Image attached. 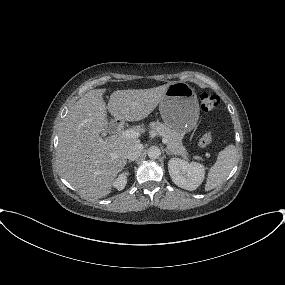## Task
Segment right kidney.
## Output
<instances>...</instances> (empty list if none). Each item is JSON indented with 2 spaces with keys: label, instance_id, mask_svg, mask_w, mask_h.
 <instances>
[{
  "label": "right kidney",
  "instance_id": "1",
  "mask_svg": "<svg viewBox=\"0 0 285 285\" xmlns=\"http://www.w3.org/2000/svg\"><path fill=\"white\" fill-rule=\"evenodd\" d=\"M127 176L128 172L120 174L113 182V186L119 191L123 190L127 184Z\"/></svg>",
  "mask_w": 285,
  "mask_h": 285
}]
</instances>
